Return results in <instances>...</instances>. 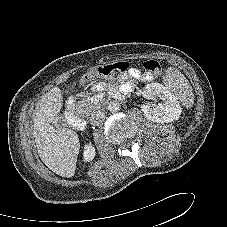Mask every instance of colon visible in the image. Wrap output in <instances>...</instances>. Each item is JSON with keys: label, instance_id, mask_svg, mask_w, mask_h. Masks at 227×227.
Segmentation results:
<instances>
[{"label": "colon", "instance_id": "colon-1", "mask_svg": "<svg viewBox=\"0 0 227 227\" xmlns=\"http://www.w3.org/2000/svg\"><path fill=\"white\" fill-rule=\"evenodd\" d=\"M129 65L126 62H118L114 64L104 65L98 68L93 69L92 71L83 75L80 80V85H86L92 79L98 77H106V78H116L123 74ZM143 69L146 78H151L154 76H160L162 74V69L160 64L155 60H147L143 64Z\"/></svg>", "mask_w": 227, "mask_h": 227}]
</instances>
